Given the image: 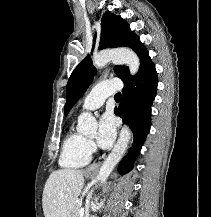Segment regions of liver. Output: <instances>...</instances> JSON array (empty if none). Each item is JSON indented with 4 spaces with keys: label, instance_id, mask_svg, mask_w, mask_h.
Masks as SVG:
<instances>
[{
    "label": "liver",
    "instance_id": "liver-1",
    "mask_svg": "<svg viewBox=\"0 0 211 217\" xmlns=\"http://www.w3.org/2000/svg\"><path fill=\"white\" fill-rule=\"evenodd\" d=\"M83 173L82 170L60 169L50 174L42 198L45 217H70L84 185Z\"/></svg>",
    "mask_w": 211,
    "mask_h": 217
}]
</instances>
